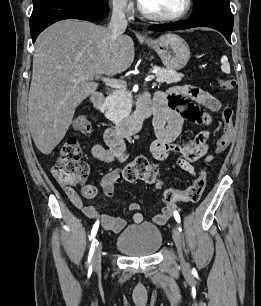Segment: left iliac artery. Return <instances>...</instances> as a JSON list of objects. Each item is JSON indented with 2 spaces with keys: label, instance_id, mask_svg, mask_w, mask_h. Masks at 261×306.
<instances>
[{
  "label": "left iliac artery",
  "instance_id": "left-iliac-artery-1",
  "mask_svg": "<svg viewBox=\"0 0 261 306\" xmlns=\"http://www.w3.org/2000/svg\"><path fill=\"white\" fill-rule=\"evenodd\" d=\"M174 218L177 221V223H180L181 219H180V215L177 211H174Z\"/></svg>",
  "mask_w": 261,
  "mask_h": 306
}]
</instances>
